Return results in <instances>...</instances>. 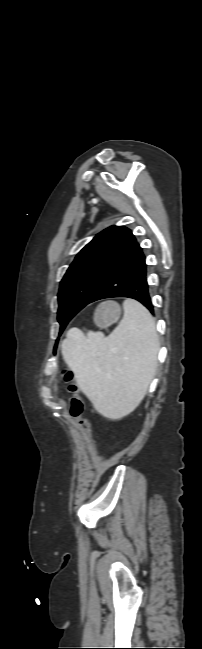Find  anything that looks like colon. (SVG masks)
Wrapping results in <instances>:
<instances>
[{
    "mask_svg": "<svg viewBox=\"0 0 202 649\" xmlns=\"http://www.w3.org/2000/svg\"><path fill=\"white\" fill-rule=\"evenodd\" d=\"M61 378L66 384L67 392L70 394L69 414L75 420L79 431L89 437L91 425L89 420L84 417V402L80 396V389L75 380V375L70 369L65 368L61 373Z\"/></svg>",
    "mask_w": 202,
    "mask_h": 649,
    "instance_id": "5ec220e1",
    "label": "colon"
}]
</instances>
